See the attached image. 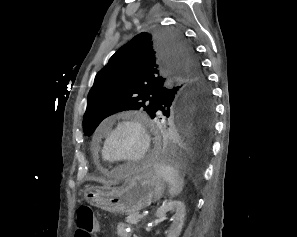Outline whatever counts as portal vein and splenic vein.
<instances>
[{
  "label": "portal vein and splenic vein",
  "instance_id": "portal-vein-and-splenic-vein-1",
  "mask_svg": "<svg viewBox=\"0 0 297 237\" xmlns=\"http://www.w3.org/2000/svg\"><path fill=\"white\" fill-rule=\"evenodd\" d=\"M143 216H144V214H140V215H139V218H143Z\"/></svg>",
  "mask_w": 297,
  "mask_h": 237
}]
</instances>
